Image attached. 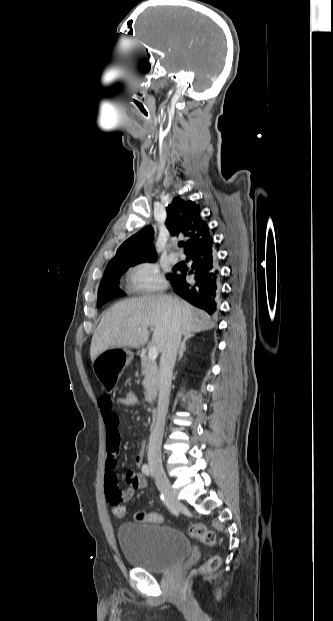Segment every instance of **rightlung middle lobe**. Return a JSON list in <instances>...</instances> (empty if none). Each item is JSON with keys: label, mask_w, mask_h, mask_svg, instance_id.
Returning <instances> with one entry per match:
<instances>
[{"label": "right lung middle lobe", "mask_w": 333, "mask_h": 621, "mask_svg": "<svg viewBox=\"0 0 333 621\" xmlns=\"http://www.w3.org/2000/svg\"><path fill=\"white\" fill-rule=\"evenodd\" d=\"M153 261H155V259L149 260V262ZM141 262L125 263L106 267L98 290L97 306H101L111 299L124 296V292L119 288V279L129 267ZM169 275L170 274H168L167 277Z\"/></svg>", "instance_id": "dd1d6c3e"}]
</instances>
